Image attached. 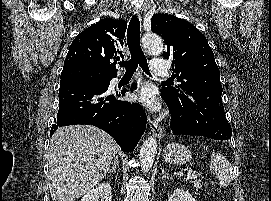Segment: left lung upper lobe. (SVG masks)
Returning a JSON list of instances; mask_svg holds the SVG:
<instances>
[{"instance_id":"obj_1","label":"left lung upper lobe","mask_w":271,"mask_h":201,"mask_svg":"<svg viewBox=\"0 0 271 201\" xmlns=\"http://www.w3.org/2000/svg\"><path fill=\"white\" fill-rule=\"evenodd\" d=\"M151 29L166 44L164 58L173 59L172 72L180 83L162 87L184 124L205 137L227 140L232 130L221 99L220 72L206 37L189 22L169 14H156Z\"/></svg>"}]
</instances>
